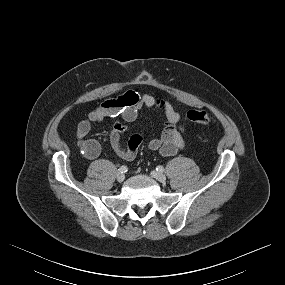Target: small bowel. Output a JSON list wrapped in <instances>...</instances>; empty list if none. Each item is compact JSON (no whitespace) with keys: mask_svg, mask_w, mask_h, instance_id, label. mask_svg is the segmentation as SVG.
Returning a JSON list of instances; mask_svg holds the SVG:
<instances>
[{"mask_svg":"<svg viewBox=\"0 0 285 285\" xmlns=\"http://www.w3.org/2000/svg\"><path fill=\"white\" fill-rule=\"evenodd\" d=\"M143 107L159 109L166 120L161 133L149 141V148L158 151L162 156L175 155L185 144L183 138L185 129L180 122V114L166 99L156 98L150 94H138L131 90L116 98L105 100L80 121L76 137L78 139L77 145L83 155L90 160L99 156L101 151L99 143L85 138L93 123L111 118L114 119V123L109 134L110 144L120 157L131 160L136 155L142 138L137 134L132 135L127 148H124L120 143V136L127 131V125L121 119L127 123L135 121L139 110Z\"/></svg>","mask_w":285,"mask_h":285,"instance_id":"c3829d8e","label":"small bowel"}]
</instances>
